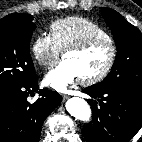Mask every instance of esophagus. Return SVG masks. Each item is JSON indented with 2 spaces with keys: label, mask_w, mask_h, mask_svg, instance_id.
Instances as JSON below:
<instances>
[{
  "label": "esophagus",
  "mask_w": 142,
  "mask_h": 142,
  "mask_svg": "<svg viewBox=\"0 0 142 142\" xmlns=\"http://www.w3.org/2000/svg\"><path fill=\"white\" fill-rule=\"evenodd\" d=\"M61 97H62L63 101H65L66 99H68V98H69V96H68V95H66V94H62V95H61Z\"/></svg>",
  "instance_id": "obj_1"
}]
</instances>
